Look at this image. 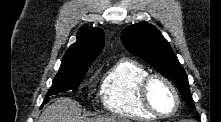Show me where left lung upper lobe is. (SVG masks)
<instances>
[{"label":"left lung upper lobe","mask_w":221,"mask_h":122,"mask_svg":"<svg viewBox=\"0 0 221 122\" xmlns=\"http://www.w3.org/2000/svg\"><path fill=\"white\" fill-rule=\"evenodd\" d=\"M121 39L130 52L149 63L164 77L172 79L189 108L195 109L184 68L167 40L153 25L147 22L131 25L122 32Z\"/></svg>","instance_id":"5c2ea615"}]
</instances>
